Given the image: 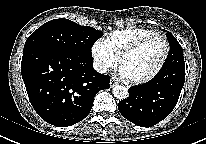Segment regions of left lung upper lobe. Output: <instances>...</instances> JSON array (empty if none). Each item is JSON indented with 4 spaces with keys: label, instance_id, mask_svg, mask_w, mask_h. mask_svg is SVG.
Returning a JSON list of instances; mask_svg holds the SVG:
<instances>
[{
    "label": "left lung upper lobe",
    "instance_id": "5c2ea615",
    "mask_svg": "<svg viewBox=\"0 0 206 144\" xmlns=\"http://www.w3.org/2000/svg\"><path fill=\"white\" fill-rule=\"evenodd\" d=\"M166 35L170 43V51L162 69L174 64L185 65L181 45L176 40V38L171 34V32H167Z\"/></svg>",
    "mask_w": 206,
    "mask_h": 144
}]
</instances>
